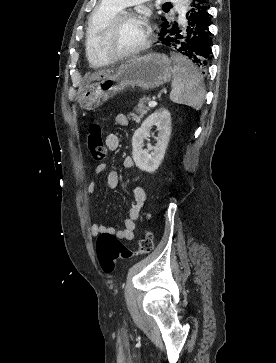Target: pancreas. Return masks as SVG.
Here are the masks:
<instances>
[{"label":"pancreas","instance_id":"1","mask_svg":"<svg viewBox=\"0 0 276 363\" xmlns=\"http://www.w3.org/2000/svg\"><path fill=\"white\" fill-rule=\"evenodd\" d=\"M146 98H142L138 101L136 107L134 108L133 113H130L129 115L132 117V120L135 122H140L141 118L148 113V111L150 110L149 107L145 106L144 102H145Z\"/></svg>","mask_w":276,"mask_h":363}]
</instances>
